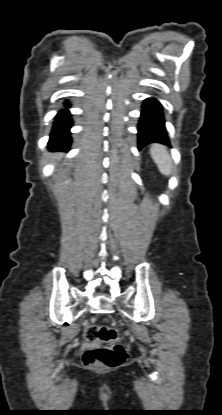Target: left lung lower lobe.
<instances>
[{
    "mask_svg": "<svg viewBox=\"0 0 222 415\" xmlns=\"http://www.w3.org/2000/svg\"><path fill=\"white\" fill-rule=\"evenodd\" d=\"M161 103L155 98H147L142 106L138 123V149L150 143L169 145L165 130V119Z\"/></svg>",
    "mask_w": 222,
    "mask_h": 415,
    "instance_id": "1",
    "label": "left lung lower lobe"
}]
</instances>
